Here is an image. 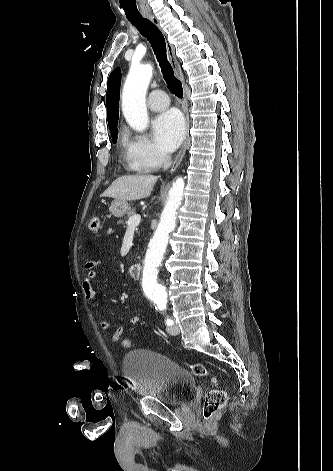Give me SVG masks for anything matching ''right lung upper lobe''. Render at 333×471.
<instances>
[{
	"instance_id": "1",
	"label": "right lung upper lobe",
	"mask_w": 333,
	"mask_h": 471,
	"mask_svg": "<svg viewBox=\"0 0 333 471\" xmlns=\"http://www.w3.org/2000/svg\"><path fill=\"white\" fill-rule=\"evenodd\" d=\"M120 83V70L116 68L108 78L106 93L107 120L111 132L114 131L118 125Z\"/></svg>"
}]
</instances>
